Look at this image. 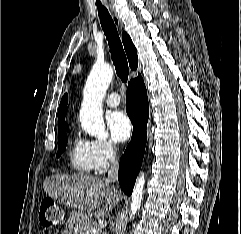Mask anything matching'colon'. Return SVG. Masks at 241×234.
I'll return each instance as SVG.
<instances>
[{
  "mask_svg": "<svg viewBox=\"0 0 241 234\" xmlns=\"http://www.w3.org/2000/svg\"><path fill=\"white\" fill-rule=\"evenodd\" d=\"M62 220L60 209L51 199H45L41 203L39 221L44 227H53Z\"/></svg>",
  "mask_w": 241,
  "mask_h": 234,
  "instance_id": "obj_1",
  "label": "colon"
}]
</instances>
